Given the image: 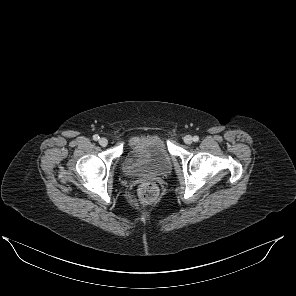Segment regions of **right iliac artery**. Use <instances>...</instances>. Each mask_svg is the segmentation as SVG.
Wrapping results in <instances>:
<instances>
[{"mask_svg":"<svg viewBox=\"0 0 296 296\" xmlns=\"http://www.w3.org/2000/svg\"><path fill=\"white\" fill-rule=\"evenodd\" d=\"M99 138H100V137H99L97 134H95V135L93 136V140H95V141H97Z\"/></svg>","mask_w":296,"mask_h":296,"instance_id":"right-iliac-artery-1","label":"right iliac artery"}]
</instances>
